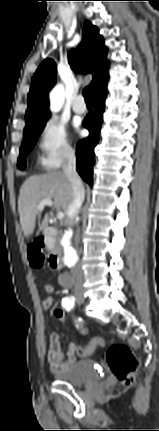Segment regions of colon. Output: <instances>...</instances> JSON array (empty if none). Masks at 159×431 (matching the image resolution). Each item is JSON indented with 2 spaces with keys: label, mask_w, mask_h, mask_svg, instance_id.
<instances>
[{
  "label": "colon",
  "mask_w": 159,
  "mask_h": 431,
  "mask_svg": "<svg viewBox=\"0 0 159 431\" xmlns=\"http://www.w3.org/2000/svg\"><path fill=\"white\" fill-rule=\"evenodd\" d=\"M29 261L31 266L39 268L43 266L44 255L41 251V244H34L29 250ZM56 305L53 296H48L46 308L52 309ZM54 319L58 324L68 325V316L71 319L79 318V313L70 309L67 312L62 306H59L52 312ZM82 333H86V329H81ZM98 349L104 348V343L101 337L92 336L90 342L79 343L77 348L78 359L88 360L91 355ZM108 366L114 377L123 385L130 386L135 380V374L139 367V361L132 350L125 344H112L109 346L106 354Z\"/></svg>",
  "instance_id": "colon-1"
}]
</instances>
